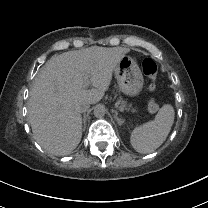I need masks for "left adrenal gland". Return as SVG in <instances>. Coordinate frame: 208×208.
I'll return each instance as SVG.
<instances>
[{
	"label": "left adrenal gland",
	"mask_w": 208,
	"mask_h": 208,
	"mask_svg": "<svg viewBox=\"0 0 208 208\" xmlns=\"http://www.w3.org/2000/svg\"><path fill=\"white\" fill-rule=\"evenodd\" d=\"M111 112L115 114V115H114V120H115L118 124L122 125L124 121H120V119L118 118V112L115 111V110H112Z\"/></svg>",
	"instance_id": "1"
}]
</instances>
